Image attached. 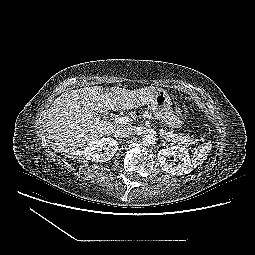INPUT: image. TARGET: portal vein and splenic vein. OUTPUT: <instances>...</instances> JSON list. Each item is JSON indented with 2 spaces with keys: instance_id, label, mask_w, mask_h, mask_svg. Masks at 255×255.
Masks as SVG:
<instances>
[{
  "instance_id": "1",
  "label": "portal vein and splenic vein",
  "mask_w": 255,
  "mask_h": 255,
  "mask_svg": "<svg viewBox=\"0 0 255 255\" xmlns=\"http://www.w3.org/2000/svg\"><path fill=\"white\" fill-rule=\"evenodd\" d=\"M131 121L129 117H116L115 118V123L117 124H127ZM163 130H161V134H163Z\"/></svg>"
}]
</instances>
